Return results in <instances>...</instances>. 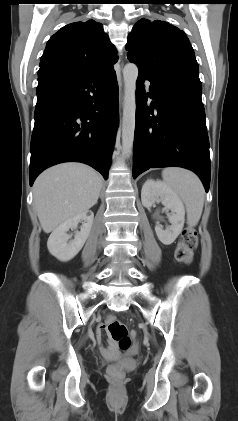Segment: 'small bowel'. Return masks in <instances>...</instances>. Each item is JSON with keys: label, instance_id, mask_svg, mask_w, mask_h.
<instances>
[{"label": "small bowel", "instance_id": "obj_1", "mask_svg": "<svg viewBox=\"0 0 238 421\" xmlns=\"http://www.w3.org/2000/svg\"><path fill=\"white\" fill-rule=\"evenodd\" d=\"M103 329H105L104 328V325H100L99 327H98V329H97V336H98V338H100L101 337V334H102V330ZM111 351V348H108V349H106L105 350V352H110Z\"/></svg>", "mask_w": 238, "mask_h": 421}]
</instances>
